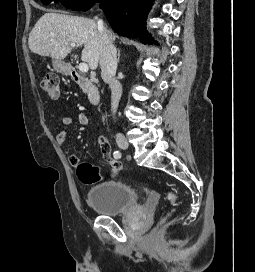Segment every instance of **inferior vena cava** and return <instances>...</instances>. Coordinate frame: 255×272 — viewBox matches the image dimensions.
Returning <instances> with one entry per match:
<instances>
[{
  "instance_id": "602c4592",
  "label": "inferior vena cava",
  "mask_w": 255,
  "mask_h": 272,
  "mask_svg": "<svg viewBox=\"0 0 255 272\" xmlns=\"http://www.w3.org/2000/svg\"><path fill=\"white\" fill-rule=\"evenodd\" d=\"M97 27L100 37L99 63L101 68V77L111 89V111L113 115H115L122 95V85L115 78L117 70V50L110 41L108 31L101 19L97 20Z\"/></svg>"
}]
</instances>
